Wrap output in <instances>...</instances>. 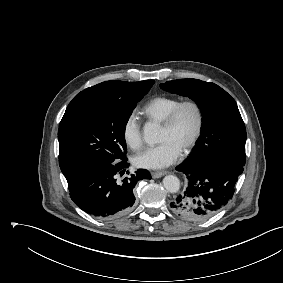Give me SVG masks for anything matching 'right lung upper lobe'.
<instances>
[{
  "label": "right lung upper lobe",
  "mask_w": 283,
  "mask_h": 283,
  "mask_svg": "<svg viewBox=\"0 0 283 283\" xmlns=\"http://www.w3.org/2000/svg\"><path fill=\"white\" fill-rule=\"evenodd\" d=\"M144 81L141 82H125V81H106L95 86L89 87L75 97H109L117 95H126L139 88Z\"/></svg>",
  "instance_id": "right-lung-upper-lobe-1"
}]
</instances>
